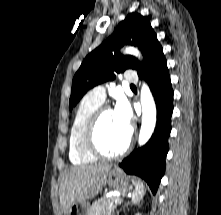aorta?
Instances as JSON below:
<instances>
[{
  "label": "aorta",
  "instance_id": "obj_1",
  "mask_svg": "<svg viewBox=\"0 0 221 215\" xmlns=\"http://www.w3.org/2000/svg\"><path fill=\"white\" fill-rule=\"evenodd\" d=\"M125 53L141 57L138 49L127 47ZM140 101L142 106V124L139 133L138 143L144 145L152 136L156 126V105L149 87L143 83L140 92Z\"/></svg>",
  "mask_w": 221,
  "mask_h": 215
}]
</instances>
